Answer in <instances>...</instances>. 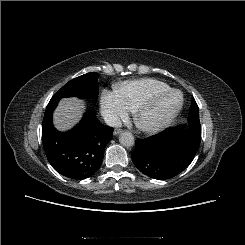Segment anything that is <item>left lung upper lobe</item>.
<instances>
[{"label":"left lung upper lobe","instance_id":"left-lung-upper-lobe-1","mask_svg":"<svg viewBox=\"0 0 245 245\" xmlns=\"http://www.w3.org/2000/svg\"><path fill=\"white\" fill-rule=\"evenodd\" d=\"M189 127L192 130L201 131V125L199 120V108L194 98H192L190 112L188 115Z\"/></svg>","mask_w":245,"mask_h":245}]
</instances>
